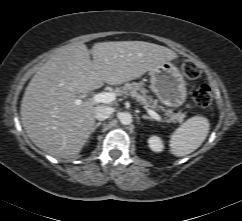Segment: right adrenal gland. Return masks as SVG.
I'll use <instances>...</instances> for the list:
<instances>
[{
	"label": "right adrenal gland",
	"mask_w": 242,
	"mask_h": 221,
	"mask_svg": "<svg viewBox=\"0 0 242 221\" xmlns=\"http://www.w3.org/2000/svg\"><path fill=\"white\" fill-rule=\"evenodd\" d=\"M102 125V122H97L93 128V132H95V130L100 126Z\"/></svg>",
	"instance_id": "2a0ac1e0"
}]
</instances>
